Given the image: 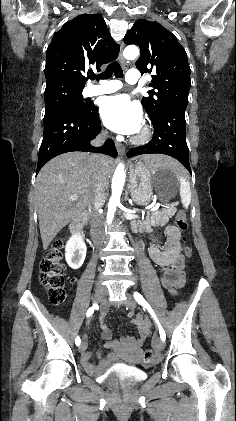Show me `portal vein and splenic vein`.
Instances as JSON below:
<instances>
[{"label":"portal vein and splenic vein","instance_id":"18ae733b","mask_svg":"<svg viewBox=\"0 0 236 421\" xmlns=\"http://www.w3.org/2000/svg\"><path fill=\"white\" fill-rule=\"evenodd\" d=\"M72 200H77L78 196L77 194H72L71 196ZM160 202H157V204H155V206H152V208H150V211H157V208H159ZM131 210H134V207H131Z\"/></svg>","mask_w":236,"mask_h":421}]
</instances>
